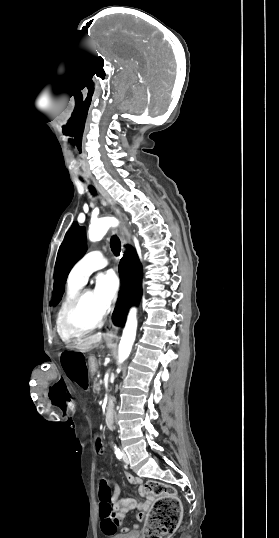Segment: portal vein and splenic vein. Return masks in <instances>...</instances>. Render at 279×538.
<instances>
[{"label":"portal vein and splenic vein","mask_w":279,"mask_h":538,"mask_svg":"<svg viewBox=\"0 0 279 538\" xmlns=\"http://www.w3.org/2000/svg\"><path fill=\"white\" fill-rule=\"evenodd\" d=\"M100 385H103V380H99Z\"/></svg>","instance_id":"portal-vein-and-splenic-vein-1"}]
</instances>
